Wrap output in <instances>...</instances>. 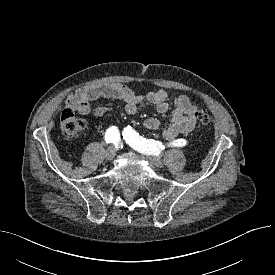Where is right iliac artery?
Segmentation results:
<instances>
[{
	"label": "right iliac artery",
	"instance_id": "obj_1",
	"mask_svg": "<svg viewBox=\"0 0 275 275\" xmlns=\"http://www.w3.org/2000/svg\"><path fill=\"white\" fill-rule=\"evenodd\" d=\"M120 140V133L119 130L116 126H112L110 128L107 129L106 133H105V142L107 144L110 143H118Z\"/></svg>",
	"mask_w": 275,
	"mask_h": 275
}]
</instances>
